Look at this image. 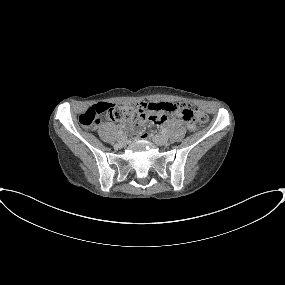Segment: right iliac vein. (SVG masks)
<instances>
[{"label": "right iliac vein", "instance_id": "right-iliac-vein-1", "mask_svg": "<svg viewBox=\"0 0 285 285\" xmlns=\"http://www.w3.org/2000/svg\"><path fill=\"white\" fill-rule=\"evenodd\" d=\"M127 143V137L126 136H120L118 138V145L119 146H125Z\"/></svg>", "mask_w": 285, "mask_h": 285}]
</instances>
